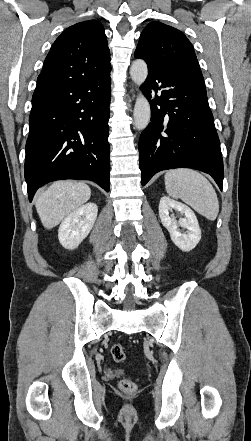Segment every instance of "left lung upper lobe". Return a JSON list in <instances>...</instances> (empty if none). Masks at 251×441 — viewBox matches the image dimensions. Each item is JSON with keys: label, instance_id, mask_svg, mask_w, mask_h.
I'll return each mask as SVG.
<instances>
[{"label": "left lung upper lobe", "instance_id": "1", "mask_svg": "<svg viewBox=\"0 0 251 441\" xmlns=\"http://www.w3.org/2000/svg\"><path fill=\"white\" fill-rule=\"evenodd\" d=\"M135 57L146 61L149 69L179 72L203 80L194 49L178 29L151 22L140 35Z\"/></svg>", "mask_w": 251, "mask_h": 441}]
</instances>
